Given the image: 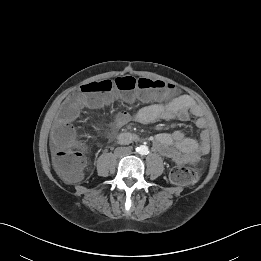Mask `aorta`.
I'll list each match as a JSON object with an SVG mask.
<instances>
[{"mask_svg":"<svg viewBox=\"0 0 261 261\" xmlns=\"http://www.w3.org/2000/svg\"><path fill=\"white\" fill-rule=\"evenodd\" d=\"M136 151L141 154V155H146L149 151H148V147L145 145H141L139 147H137Z\"/></svg>","mask_w":261,"mask_h":261,"instance_id":"1","label":"aorta"}]
</instances>
